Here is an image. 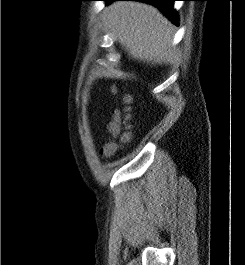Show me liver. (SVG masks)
Here are the masks:
<instances>
[{"label": "liver", "mask_w": 245, "mask_h": 265, "mask_svg": "<svg viewBox=\"0 0 245 265\" xmlns=\"http://www.w3.org/2000/svg\"><path fill=\"white\" fill-rule=\"evenodd\" d=\"M104 17L115 39L132 58L152 64L167 63L173 59V25L154 6L118 1L105 9Z\"/></svg>", "instance_id": "obj_1"}]
</instances>
